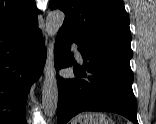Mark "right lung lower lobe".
I'll list each match as a JSON object with an SVG mask.
<instances>
[{
	"mask_svg": "<svg viewBox=\"0 0 156 124\" xmlns=\"http://www.w3.org/2000/svg\"><path fill=\"white\" fill-rule=\"evenodd\" d=\"M45 60L39 29L26 35H11L0 42V124H27V94Z\"/></svg>",
	"mask_w": 156,
	"mask_h": 124,
	"instance_id": "98d812e1",
	"label": "right lung lower lobe"
}]
</instances>
